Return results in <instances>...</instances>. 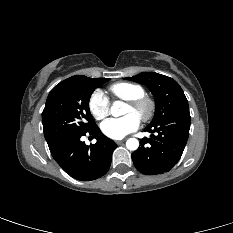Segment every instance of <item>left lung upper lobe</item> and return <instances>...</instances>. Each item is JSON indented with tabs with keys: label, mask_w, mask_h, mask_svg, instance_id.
I'll return each mask as SVG.
<instances>
[{
	"label": "left lung upper lobe",
	"mask_w": 233,
	"mask_h": 233,
	"mask_svg": "<svg viewBox=\"0 0 233 233\" xmlns=\"http://www.w3.org/2000/svg\"><path fill=\"white\" fill-rule=\"evenodd\" d=\"M147 86L155 98V115L148 126H152L183 111H189L188 101L179 84L172 78L144 72L133 77L124 78Z\"/></svg>",
	"instance_id": "1"
}]
</instances>
